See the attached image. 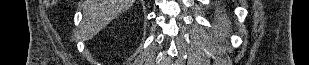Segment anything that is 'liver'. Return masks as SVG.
Instances as JSON below:
<instances>
[{
  "instance_id": "6515ba94",
  "label": "liver",
  "mask_w": 309,
  "mask_h": 65,
  "mask_svg": "<svg viewBox=\"0 0 309 65\" xmlns=\"http://www.w3.org/2000/svg\"><path fill=\"white\" fill-rule=\"evenodd\" d=\"M134 2L135 0H85L81 24L82 38L89 40L94 37Z\"/></svg>"
}]
</instances>
